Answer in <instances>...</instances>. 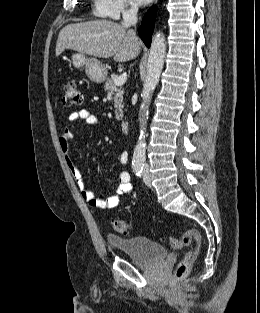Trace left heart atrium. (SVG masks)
Returning a JSON list of instances; mask_svg holds the SVG:
<instances>
[{"label":"left heart atrium","mask_w":260,"mask_h":313,"mask_svg":"<svg viewBox=\"0 0 260 313\" xmlns=\"http://www.w3.org/2000/svg\"><path fill=\"white\" fill-rule=\"evenodd\" d=\"M136 3L140 5H146L148 4L151 0H134Z\"/></svg>","instance_id":"obj_1"}]
</instances>
